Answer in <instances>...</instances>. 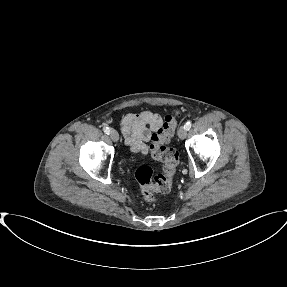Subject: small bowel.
<instances>
[{
  "label": "small bowel",
  "instance_id": "small-bowel-1",
  "mask_svg": "<svg viewBox=\"0 0 287 287\" xmlns=\"http://www.w3.org/2000/svg\"><path fill=\"white\" fill-rule=\"evenodd\" d=\"M161 125L162 118L149 111L127 114L121 120V129L126 144L136 154L147 153V142Z\"/></svg>",
  "mask_w": 287,
  "mask_h": 287
}]
</instances>
